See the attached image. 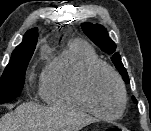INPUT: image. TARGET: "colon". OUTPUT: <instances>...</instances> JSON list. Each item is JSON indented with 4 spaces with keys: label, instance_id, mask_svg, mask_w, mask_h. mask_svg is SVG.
Here are the masks:
<instances>
[{
    "label": "colon",
    "instance_id": "colon-1",
    "mask_svg": "<svg viewBox=\"0 0 151 131\" xmlns=\"http://www.w3.org/2000/svg\"><path fill=\"white\" fill-rule=\"evenodd\" d=\"M107 131H127V130H125V129H123V128H120V127L115 126V127H111V128H109Z\"/></svg>",
    "mask_w": 151,
    "mask_h": 131
}]
</instances>
